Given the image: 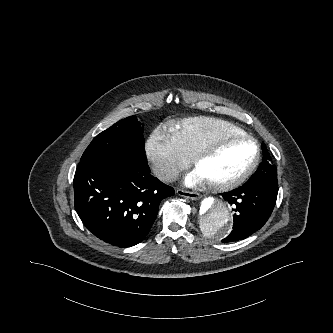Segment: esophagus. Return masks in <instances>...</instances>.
Returning <instances> with one entry per match:
<instances>
[{"instance_id":"obj_1","label":"esophagus","mask_w":333,"mask_h":333,"mask_svg":"<svg viewBox=\"0 0 333 333\" xmlns=\"http://www.w3.org/2000/svg\"><path fill=\"white\" fill-rule=\"evenodd\" d=\"M176 193L181 197L189 198L191 200H198L200 198L198 193L183 189H177Z\"/></svg>"}]
</instances>
